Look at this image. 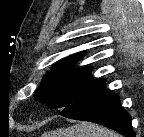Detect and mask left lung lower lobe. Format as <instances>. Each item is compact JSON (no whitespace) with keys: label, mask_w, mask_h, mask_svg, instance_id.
I'll use <instances>...</instances> for the list:
<instances>
[{"label":"left lung lower lobe","mask_w":144,"mask_h":137,"mask_svg":"<svg viewBox=\"0 0 144 137\" xmlns=\"http://www.w3.org/2000/svg\"><path fill=\"white\" fill-rule=\"evenodd\" d=\"M59 114L75 120L101 124L125 137H135L131 116L121 107L119 96L106 89V80L95 88L86 90Z\"/></svg>","instance_id":"1"}]
</instances>
